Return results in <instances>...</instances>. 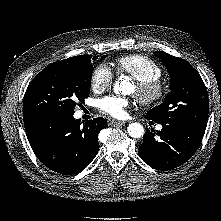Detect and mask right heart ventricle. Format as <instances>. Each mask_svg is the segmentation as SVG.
<instances>
[{"label":"right heart ventricle","mask_w":221,"mask_h":221,"mask_svg":"<svg viewBox=\"0 0 221 221\" xmlns=\"http://www.w3.org/2000/svg\"><path fill=\"white\" fill-rule=\"evenodd\" d=\"M117 71L126 73L140 82L159 80L161 67L152 59L143 55H128L116 61Z\"/></svg>","instance_id":"right-heart-ventricle-1"}]
</instances>
